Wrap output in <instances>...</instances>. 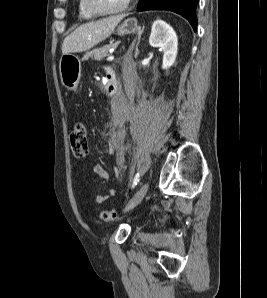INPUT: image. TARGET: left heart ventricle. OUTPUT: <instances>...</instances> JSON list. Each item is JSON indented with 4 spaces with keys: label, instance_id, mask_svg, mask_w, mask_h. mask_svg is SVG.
Here are the masks:
<instances>
[{
    "label": "left heart ventricle",
    "instance_id": "1",
    "mask_svg": "<svg viewBox=\"0 0 267 298\" xmlns=\"http://www.w3.org/2000/svg\"><path fill=\"white\" fill-rule=\"evenodd\" d=\"M95 7L103 11H114L120 8L125 0H92Z\"/></svg>",
    "mask_w": 267,
    "mask_h": 298
}]
</instances>
